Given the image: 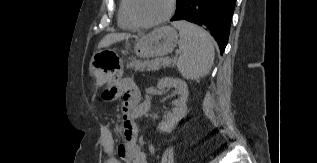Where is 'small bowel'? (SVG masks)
Masks as SVG:
<instances>
[{
	"label": "small bowel",
	"mask_w": 317,
	"mask_h": 163,
	"mask_svg": "<svg viewBox=\"0 0 317 163\" xmlns=\"http://www.w3.org/2000/svg\"><path fill=\"white\" fill-rule=\"evenodd\" d=\"M118 92L123 96L121 125L124 141L115 145L111 130H105L101 141L106 156L104 163H148L146 153L137 142L136 120L146 112V108L140 103V90L133 80L125 79L119 84ZM148 150L154 153L152 145L148 146Z\"/></svg>",
	"instance_id": "small-bowel-1"
}]
</instances>
